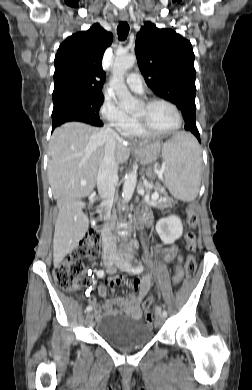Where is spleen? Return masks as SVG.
<instances>
[{
    "mask_svg": "<svg viewBox=\"0 0 252 390\" xmlns=\"http://www.w3.org/2000/svg\"><path fill=\"white\" fill-rule=\"evenodd\" d=\"M165 186L177 199L195 200L201 183V152L196 140L187 133H177L162 150Z\"/></svg>",
    "mask_w": 252,
    "mask_h": 390,
    "instance_id": "3e777b00",
    "label": "spleen"
}]
</instances>
